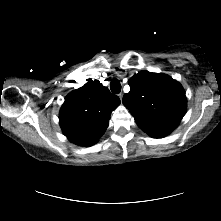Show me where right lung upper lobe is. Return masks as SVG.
Here are the masks:
<instances>
[{
    "label": "right lung upper lobe",
    "mask_w": 221,
    "mask_h": 221,
    "mask_svg": "<svg viewBox=\"0 0 221 221\" xmlns=\"http://www.w3.org/2000/svg\"><path fill=\"white\" fill-rule=\"evenodd\" d=\"M120 104L98 80L66 96L59 120L64 135L79 146H91L104 134L112 111Z\"/></svg>",
    "instance_id": "1"
}]
</instances>
